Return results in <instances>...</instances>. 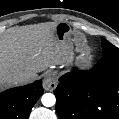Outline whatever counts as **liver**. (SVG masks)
<instances>
[{"label":"liver","mask_w":119,"mask_h":119,"mask_svg":"<svg viewBox=\"0 0 119 119\" xmlns=\"http://www.w3.org/2000/svg\"><path fill=\"white\" fill-rule=\"evenodd\" d=\"M57 24L31 25L0 36V89L14 85L23 74L33 81L38 72L60 62V46L54 37Z\"/></svg>","instance_id":"6515ba94"}]
</instances>
